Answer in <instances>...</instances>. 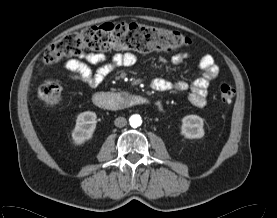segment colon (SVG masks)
I'll use <instances>...</instances> for the list:
<instances>
[{"label":"colon","instance_id":"colon-1","mask_svg":"<svg viewBox=\"0 0 277 218\" xmlns=\"http://www.w3.org/2000/svg\"><path fill=\"white\" fill-rule=\"evenodd\" d=\"M190 39L181 33L134 23H105L78 32L69 33L48 46L43 53V63L53 64L65 57L78 56L86 50H130L139 53L172 51L189 47ZM41 101L55 106L62 95L57 82H44L38 91ZM235 89L229 84L219 86V97L223 104L232 102Z\"/></svg>","mask_w":277,"mask_h":218}]
</instances>
